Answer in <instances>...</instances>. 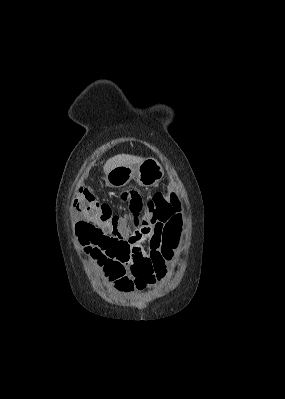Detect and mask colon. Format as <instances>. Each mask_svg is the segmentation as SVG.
I'll return each instance as SVG.
<instances>
[{"instance_id":"obj_1","label":"colon","mask_w":285,"mask_h":399,"mask_svg":"<svg viewBox=\"0 0 285 399\" xmlns=\"http://www.w3.org/2000/svg\"><path fill=\"white\" fill-rule=\"evenodd\" d=\"M122 200L127 208L123 220L112 211L108 202H97L89 188L80 187L74 206L83 214V218L76 223L75 230L88 252L94 258L108 263L110 280L123 273L125 264L129 265L132 279H123L120 283L121 289L129 292L164 276L167 272V256L161 249L153 251L149 258L137 254V249L119 236L120 223L124 221L133 230H139L147 222V215L153 212L156 228L164 231L165 246L173 248L179 234L171 228L178 218L181 205L174 194L165 193H156L145 200L138 192L132 191L124 194Z\"/></svg>"}]
</instances>
